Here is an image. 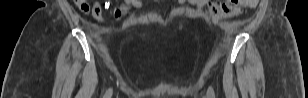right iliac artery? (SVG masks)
Returning <instances> with one entry per match:
<instances>
[{"label":"right iliac artery","mask_w":308,"mask_h":98,"mask_svg":"<svg viewBox=\"0 0 308 98\" xmlns=\"http://www.w3.org/2000/svg\"><path fill=\"white\" fill-rule=\"evenodd\" d=\"M111 95H112V89L110 88V89H108V90L106 91V93H105V95H104V98H110Z\"/></svg>","instance_id":"1"}]
</instances>
